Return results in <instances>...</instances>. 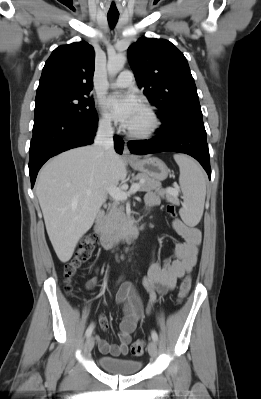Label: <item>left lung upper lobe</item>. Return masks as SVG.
<instances>
[{
    "label": "left lung upper lobe",
    "mask_w": 261,
    "mask_h": 399,
    "mask_svg": "<svg viewBox=\"0 0 261 399\" xmlns=\"http://www.w3.org/2000/svg\"><path fill=\"white\" fill-rule=\"evenodd\" d=\"M128 58L138 86L159 109L160 129L202 116L188 62L170 41L142 37L128 48Z\"/></svg>",
    "instance_id": "1"
}]
</instances>
